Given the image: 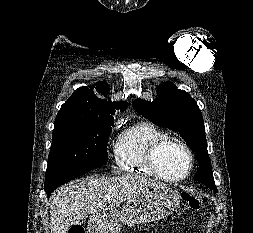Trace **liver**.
<instances>
[{
	"mask_svg": "<svg viewBox=\"0 0 253 233\" xmlns=\"http://www.w3.org/2000/svg\"><path fill=\"white\" fill-rule=\"evenodd\" d=\"M159 182L138 175L117 177H87L61 188L50 205L51 233H66L86 214L106 210L105 197L110 195L111 205L136 198L148 189L161 186Z\"/></svg>",
	"mask_w": 253,
	"mask_h": 233,
	"instance_id": "1",
	"label": "liver"
}]
</instances>
